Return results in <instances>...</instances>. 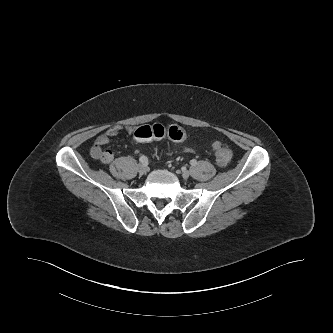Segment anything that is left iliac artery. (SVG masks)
Listing matches in <instances>:
<instances>
[{"label": "left iliac artery", "mask_w": 333, "mask_h": 333, "mask_svg": "<svg viewBox=\"0 0 333 333\" xmlns=\"http://www.w3.org/2000/svg\"><path fill=\"white\" fill-rule=\"evenodd\" d=\"M196 163H197V161H196L195 159H192V160L190 161V164H191V165H196Z\"/></svg>", "instance_id": "44dca946"}]
</instances>
